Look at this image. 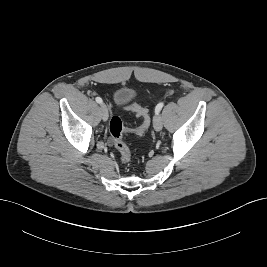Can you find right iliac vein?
<instances>
[{"instance_id":"obj_1","label":"right iliac vein","mask_w":267,"mask_h":267,"mask_svg":"<svg viewBox=\"0 0 267 267\" xmlns=\"http://www.w3.org/2000/svg\"><path fill=\"white\" fill-rule=\"evenodd\" d=\"M100 113H101L102 119L104 121H107V119H108V109H107V106L105 104H101Z\"/></svg>"}]
</instances>
